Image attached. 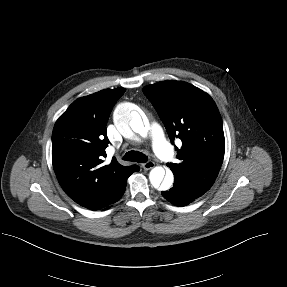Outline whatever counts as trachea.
Wrapping results in <instances>:
<instances>
[{
    "label": "trachea",
    "instance_id": "obj_1",
    "mask_svg": "<svg viewBox=\"0 0 287 287\" xmlns=\"http://www.w3.org/2000/svg\"><path fill=\"white\" fill-rule=\"evenodd\" d=\"M147 159L148 158L145 154L139 151H135V150L128 151L123 157V160L138 162V163H145Z\"/></svg>",
    "mask_w": 287,
    "mask_h": 287
}]
</instances>
